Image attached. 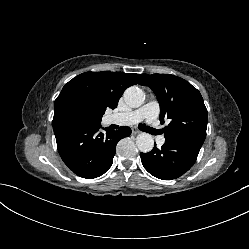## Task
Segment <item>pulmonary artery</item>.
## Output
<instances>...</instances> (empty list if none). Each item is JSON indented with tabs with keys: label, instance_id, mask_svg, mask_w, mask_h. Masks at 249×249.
I'll return each instance as SVG.
<instances>
[{
	"label": "pulmonary artery",
	"instance_id": "e3ab8cb5",
	"mask_svg": "<svg viewBox=\"0 0 249 249\" xmlns=\"http://www.w3.org/2000/svg\"><path fill=\"white\" fill-rule=\"evenodd\" d=\"M159 111V103L157 101H150L137 110L113 114L111 120L113 123L119 125H133L145 120L151 127H156ZM164 142V137H158L157 143L159 145H163Z\"/></svg>",
	"mask_w": 249,
	"mask_h": 249
}]
</instances>
